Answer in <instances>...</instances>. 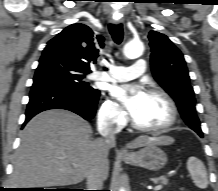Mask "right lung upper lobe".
<instances>
[{
	"label": "right lung upper lobe",
	"instance_id": "obj_1",
	"mask_svg": "<svg viewBox=\"0 0 218 191\" xmlns=\"http://www.w3.org/2000/svg\"><path fill=\"white\" fill-rule=\"evenodd\" d=\"M103 41L104 38L95 36L88 26L75 23L51 39L41 57L52 56L79 71L90 73V62H96L100 48L104 47Z\"/></svg>",
	"mask_w": 218,
	"mask_h": 191
}]
</instances>
